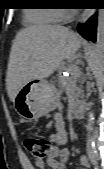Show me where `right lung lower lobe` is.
I'll list each match as a JSON object with an SVG mask.
<instances>
[{"label": "right lung lower lobe", "mask_w": 104, "mask_h": 169, "mask_svg": "<svg viewBox=\"0 0 104 169\" xmlns=\"http://www.w3.org/2000/svg\"><path fill=\"white\" fill-rule=\"evenodd\" d=\"M78 32L87 40H96V17L92 16L85 24L78 26Z\"/></svg>", "instance_id": "98d812e1"}]
</instances>
